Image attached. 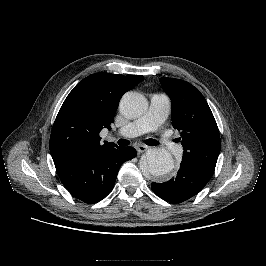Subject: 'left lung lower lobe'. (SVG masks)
Segmentation results:
<instances>
[{"label": "left lung lower lobe", "instance_id": "left-lung-lower-lobe-1", "mask_svg": "<svg viewBox=\"0 0 266 266\" xmlns=\"http://www.w3.org/2000/svg\"><path fill=\"white\" fill-rule=\"evenodd\" d=\"M212 176L180 163L177 175L164 183H152V190L170 203H181L199 193Z\"/></svg>", "mask_w": 266, "mask_h": 266}]
</instances>
